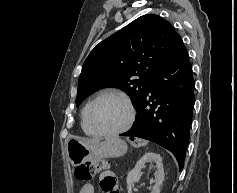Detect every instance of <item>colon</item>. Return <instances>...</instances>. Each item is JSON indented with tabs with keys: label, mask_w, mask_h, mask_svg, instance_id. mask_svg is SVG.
Here are the masks:
<instances>
[{
	"label": "colon",
	"mask_w": 237,
	"mask_h": 193,
	"mask_svg": "<svg viewBox=\"0 0 237 193\" xmlns=\"http://www.w3.org/2000/svg\"><path fill=\"white\" fill-rule=\"evenodd\" d=\"M108 166V162L104 160L87 162L76 167L75 177L79 182L88 183L99 171Z\"/></svg>",
	"instance_id": "obj_1"
}]
</instances>
